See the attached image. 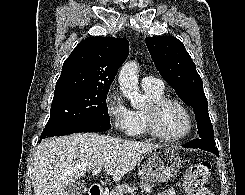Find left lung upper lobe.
Here are the masks:
<instances>
[{"mask_svg":"<svg viewBox=\"0 0 245 195\" xmlns=\"http://www.w3.org/2000/svg\"><path fill=\"white\" fill-rule=\"evenodd\" d=\"M145 42L161 76L193 108L199 138L215 145L202 79L183 43L173 36L149 37Z\"/></svg>","mask_w":245,"mask_h":195,"instance_id":"1","label":"left lung upper lobe"}]
</instances>
